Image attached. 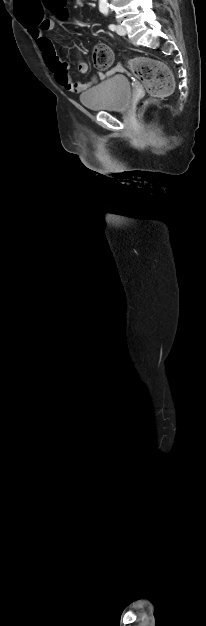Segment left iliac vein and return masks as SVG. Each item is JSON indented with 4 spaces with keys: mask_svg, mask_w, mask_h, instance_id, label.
<instances>
[{
    "mask_svg": "<svg viewBox=\"0 0 206 626\" xmlns=\"http://www.w3.org/2000/svg\"><path fill=\"white\" fill-rule=\"evenodd\" d=\"M116 32H117V34H119L121 36H124L127 33L126 28L124 26H122V25H117Z\"/></svg>",
    "mask_w": 206,
    "mask_h": 626,
    "instance_id": "1",
    "label": "left iliac vein"
}]
</instances>
